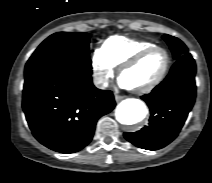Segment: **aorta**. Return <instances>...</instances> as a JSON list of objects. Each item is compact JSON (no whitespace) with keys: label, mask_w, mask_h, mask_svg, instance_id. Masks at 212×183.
<instances>
[{"label":"aorta","mask_w":212,"mask_h":183,"mask_svg":"<svg viewBox=\"0 0 212 183\" xmlns=\"http://www.w3.org/2000/svg\"><path fill=\"white\" fill-rule=\"evenodd\" d=\"M116 119L124 125H133L141 122L147 115L145 104L135 98L123 100L116 108Z\"/></svg>","instance_id":"762f6f07"}]
</instances>
